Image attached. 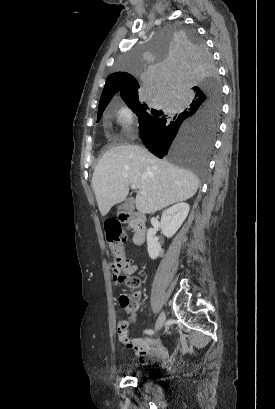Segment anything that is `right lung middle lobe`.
<instances>
[{"label":"right lung middle lobe","mask_w":275,"mask_h":409,"mask_svg":"<svg viewBox=\"0 0 275 409\" xmlns=\"http://www.w3.org/2000/svg\"><path fill=\"white\" fill-rule=\"evenodd\" d=\"M145 48L118 57L113 73H143L145 67L136 59H152L154 70H146L143 78L146 90L183 92L123 100L139 118L144 145L160 162L184 165L206 182L221 116V84L212 54L193 24H166L165 30L148 36Z\"/></svg>","instance_id":"obj_1"}]
</instances>
